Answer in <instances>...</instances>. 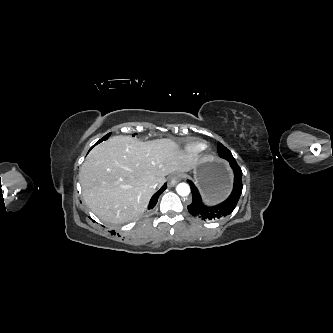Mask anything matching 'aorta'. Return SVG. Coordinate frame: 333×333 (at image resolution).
<instances>
[{
	"label": "aorta",
	"mask_w": 333,
	"mask_h": 333,
	"mask_svg": "<svg viewBox=\"0 0 333 333\" xmlns=\"http://www.w3.org/2000/svg\"><path fill=\"white\" fill-rule=\"evenodd\" d=\"M176 191L180 196H187L190 193V187L186 183H180L177 185Z\"/></svg>",
	"instance_id": "762f6f07"
}]
</instances>
